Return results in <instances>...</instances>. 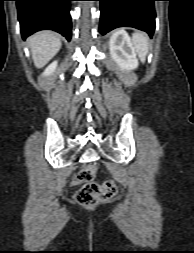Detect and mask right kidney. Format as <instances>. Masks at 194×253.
I'll list each match as a JSON object with an SVG mask.
<instances>
[{"mask_svg":"<svg viewBox=\"0 0 194 253\" xmlns=\"http://www.w3.org/2000/svg\"><path fill=\"white\" fill-rule=\"evenodd\" d=\"M56 67H57V61H54L52 64H50L46 68V70L44 72V76H50L55 71Z\"/></svg>","mask_w":194,"mask_h":253,"instance_id":"right-kidney-1","label":"right kidney"}]
</instances>
